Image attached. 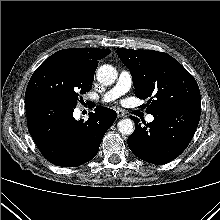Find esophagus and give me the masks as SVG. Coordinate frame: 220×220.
I'll use <instances>...</instances> for the list:
<instances>
[{"label":"esophagus","mask_w":220,"mask_h":220,"mask_svg":"<svg viewBox=\"0 0 220 220\" xmlns=\"http://www.w3.org/2000/svg\"><path fill=\"white\" fill-rule=\"evenodd\" d=\"M116 113H117V117H119V118L126 116L125 113L122 110H117Z\"/></svg>","instance_id":"34e87169"}]
</instances>
